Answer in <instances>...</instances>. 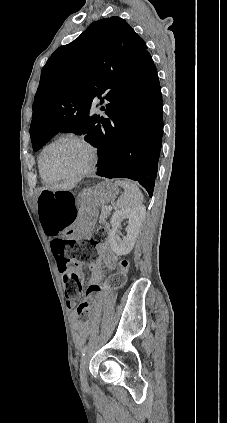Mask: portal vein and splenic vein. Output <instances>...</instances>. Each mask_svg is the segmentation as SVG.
<instances>
[{"label": "portal vein and splenic vein", "mask_w": 227, "mask_h": 423, "mask_svg": "<svg viewBox=\"0 0 227 423\" xmlns=\"http://www.w3.org/2000/svg\"><path fill=\"white\" fill-rule=\"evenodd\" d=\"M106 210L111 211L112 210V206H108V208H106Z\"/></svg>", "instance_id": "portal-vein-and-splenic-vein-1"}]
</instances>
